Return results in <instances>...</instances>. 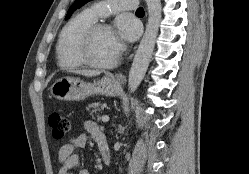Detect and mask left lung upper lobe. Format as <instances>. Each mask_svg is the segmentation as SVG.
<instances>
[{
	"label": "left lung upper lobe",
	"instance_id": "1",
	"mask_svg": "<svg viewBox=\"0 0 249 174\" xmlns=\"http://www.w3.org/2000/svg\"><path fill=\"white\" fill-rule=\"evenodd\" d=\"M91 0H75V2L73 3V5L69 8L67 15L65 17V19H68L71 14L77 9L80 8L81 6H83L85 3L89 2Z\"/></svg>",
	"mask_w": 249,
	"mask_h": 174
}]
</instances>
